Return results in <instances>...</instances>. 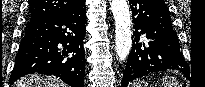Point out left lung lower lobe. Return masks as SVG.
Returning a JSON list of instances; mask_svg holds the SVG:
<instances>
[{"label": "left lung lower lobe", "mask_w": 205, "mask_h": 87, "mask_svg": "<svg viewBox=\"0 0 205 87\" xmlns=\"http://www.w3.org/2000/svg\"><path fill=\"white\" fill-rule=\"evenodd\" d=\"M129 4L135 31L122 87L151 72L174 69L186 74L188 64L164 0H129Z\"/></svg>", "instance_id": "left-lung-lower-lobe-1"}]
</instances>
